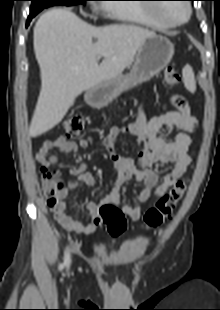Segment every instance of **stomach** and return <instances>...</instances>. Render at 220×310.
Returning a JSON list of instances; mask_svg holds the SVG:
<instances>
[{
	"instance_id": "0dacf381",
	"label": "stomach",
	"mask_w": 220,
	"mask_h": 310,
	"mask_svg": "<svg viewBox=\"0 0 220 310\" xmlns=\"http://www.w3.org/2000/svg\"><path fill=\"white\" fill-rule=\"evenodd\" d=\"M173 54L174 46L168 38L161 35L146 38L137 51L130 73L89 89L85 95L87 103L93 107L107 105L122 92L158 74L170 63Z\"/></svg>"
}]
</instances>
